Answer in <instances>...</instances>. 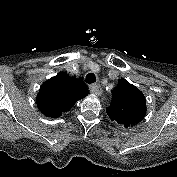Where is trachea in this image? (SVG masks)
<instances>
[{"label":"trachea","mask_w":177,"mask_h":177,"mask_svg":"<svg viewBox=\"0 0 177 177\" xmlns=\"http://www.w3.org/2000/svg\"><path fill=\"white\" fill-rule=\"evenodd\" d=\"M96 81V76L93 73H89L86 76V83L91 84Z\"/></svg>","instance_id":"trachea-1"}]
</instances>
